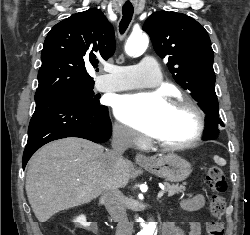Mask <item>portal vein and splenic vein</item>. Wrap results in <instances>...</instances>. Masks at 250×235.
<instances>
[{
  "instance_id": "1",
  "label": "portal vein and splenic vein",
  "mask_w": 250,
  "mask_h": 235,
  "mask_svg": "<svg viewBox=\"0 0 250 235\" xmlns=\"http://www.w3.org/2000/svg\"><path fill=\"white\" fill-rule=\"evenodd\" d=\"M163 194H164V191H160V192L158 193V198H161V197L163 196Z\"/></svg>"
}]
</instances>
